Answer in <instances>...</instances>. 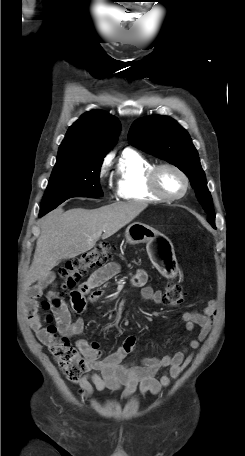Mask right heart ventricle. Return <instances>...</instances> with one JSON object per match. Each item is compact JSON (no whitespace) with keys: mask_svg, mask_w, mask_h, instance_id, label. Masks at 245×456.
Wrapping results in <instances>:
<instances>
[{"mask_svg":"<svg viewBox=\"0 0 245 456\" xmlns=\"http://www.w3.org/2000/svg\"><path fill=\"white\" fill-rule=\"evenodd\" d=\"M154 164L131 149H125L116 166L115 182L118 196L126 201L154 202L160 199L147 186V174Z\"/></svg>","mask_w":245,"mask_h":456,"instance_id":"1","label":"right heart ventricle"}]
</instances>
